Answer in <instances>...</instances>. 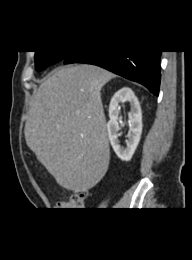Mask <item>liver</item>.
I'll return each instance as SVG.
<instances>
[{
	"label": "liver",
	"mask_w": 192,
	"mask_h": 260,
	"mask_svg": "<svg viewBox=\"0 0 192 260\" xmlns=\"http://www.w3.org/2000/svg\"><path fill=\"white\" fill-rule=\"evenodd\" d=\"M113 77L95 65L66 66L47 78L33 97L24 130L27 146L67 190L87 191L108 170L100 91Z\"/></svg>",
	"instance_id": "6515ba94"
}]
</instances>
